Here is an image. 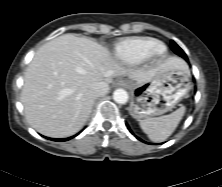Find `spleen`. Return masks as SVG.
<instances>
[{
	"label": "spleen",
	"mask_w": 222,
	"mask_h": 187,
	"mask_svg": "<svg viewBox=\"0 0 222 187\" xmlns=\"http://www.w3.org/2000/svg\"><path fill=\"white\" fill-rule=\"evenodd\" d=\"M184 113L182 106L171 114L140 120V127L150 140L163 142L175 131Z\"/></svg>",
	"instance_id": "3e777b00"
}]
</instances>
